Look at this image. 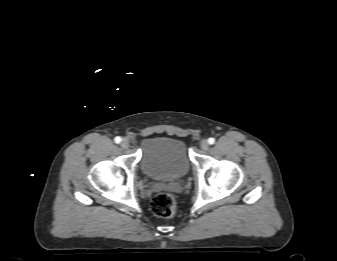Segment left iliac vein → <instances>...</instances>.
Here are the masks:
<instances>
[{"label":"left iliac vein","instance_id":"obj_1","mask_svg":"<svg viewBox=\"0 0 337 261\" xmlns=\"http://www.w3.org/2000/svg\"><path fill=\"white\" fill-rule=\"evenodd\" d=\"M200 147L202 150H207L209 148V143L207 140H202L201 143H200Z\"/></svg>","mask_w":337,"mask_h":261}]
</instances>
